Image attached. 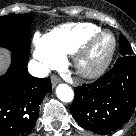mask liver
Returning a JSON list of instances; mask_svg holds the SVG:
<instances>
[{"mask_svg": "<svg viewBox=\"0 0 136 136\" xmlns=\"http://www.w3.org/2000/svg\"><path fill=\"white\" fill-rule=\"evenodd\" d=\"M9 64V55L6 50L0 49V75L5 72Z\"/></svg>", "mask_w": 136, "mask_h": 136, "instance_id": "liver-1", "label": "liver"}]
</instances>
